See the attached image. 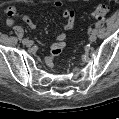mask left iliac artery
<instances>
[{
  "instance_id": "obj_1",
  "label": "left iliac artery",
  "mask_w": 119,
  "mask_h": 119,
  "mask_svg": "<svg viewBox=\"0 0 119 119\" xmlns=\"http://www.w3.org/2000/svg\"><path fill=\"white\" fill-rule=\"evenodd\" d=\"M96 31H97V30H96V29H94V30L92 31V33H96Z\"/></svg>"
}]
</instances>
